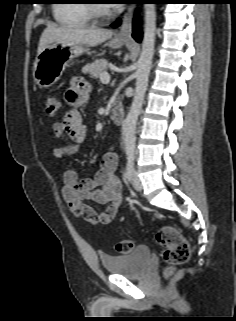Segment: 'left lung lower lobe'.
Instances as JSON below:
<instances>
[{
    "mask_svg": "<svg viewBox=\"0 0 236 321\" xmlns=\"http://www.w3.org/2000/svg\"><path fill=\"white\" fill-rule=\"evenodd\" d=\"M136 4H140V3H149V1L147 0H141V1H137L135 2ZM153 3H157V2H153ZM120 24V20H117L115 23H113L111 26L112 27H117ZM133 38L137 41L140 42L141 38H142V32L140 30L139 27V23H138V19L137 16H135V20H134V24H133V34H132Z\"/></svg>",
    "mask_w": 236,
    "mask_h": 321,
    "instance_id": "obj_1",
    "label": "left lung lower lobe"
}]
</instances>
